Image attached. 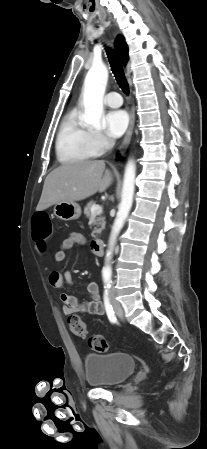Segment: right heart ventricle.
Masks as SVG:
<instances>
[{
    "instance_id": "right-heart-ventricle-1",
    "label": "right heart ventricle",
    "mask_w": 207,
    "mask_h": 449,
    "mask_svg": "<svg viewBox=\"0 0 207 449\" xmlns=\"http://www.w3.org/2000/svg\"><path fill=\"white\" fill-rule=\"evenodd\" d=\"M96 155L90 132L81 124L78 113L69 112L61 122L56 137V156L60 163L70 164Z\"/></svg>"
}]
</instances>
